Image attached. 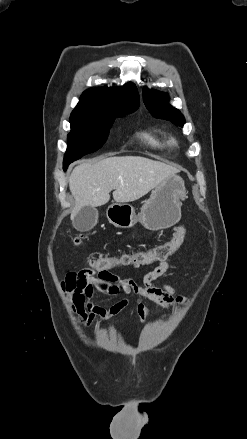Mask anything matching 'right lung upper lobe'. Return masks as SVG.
Instances as JSON below:
<instances>
[{
    "label": "right lung upper lobe",
    "mask_w": 247,
    "mask_h": 439,
    "mask_svg": "<svg viewBox=\"0 0 247 439\" xmlns=\"http://www.w3.org/2000/svg\"><path fill=\"white\" fill-rule=\"evenodd\" d=\"M138 107L137 88L129 82L119 90L111 88L86 90L72 114L113 115Z\"/></svg>",
    "instance_id": "obj_1"
}]
</instances>
